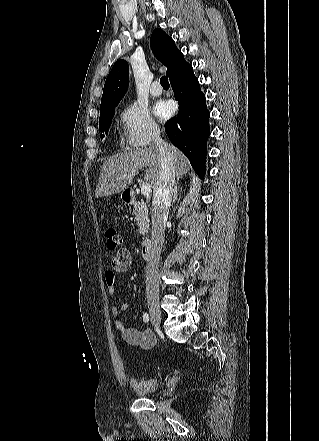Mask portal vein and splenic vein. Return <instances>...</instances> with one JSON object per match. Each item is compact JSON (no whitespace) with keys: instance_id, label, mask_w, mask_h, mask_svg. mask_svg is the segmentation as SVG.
I'll return each mask as SVG.
<instances>
[{"instance_id":"1","label":"portal vein and splenic vein","mask_w":319,"mask_h":441,"mask_svg":"<svg viewBox=\"0 0 319 441\" xmlns=\"http://www.w3.org/2000/svg\"><path fill=\"white\" fill-rule=\"evenodd\" d=\"M132 172H135V170ZM141 193L144 196H148L151 193V185L149 183H143L141 186Z\"/></svg>"}]
</instances>
